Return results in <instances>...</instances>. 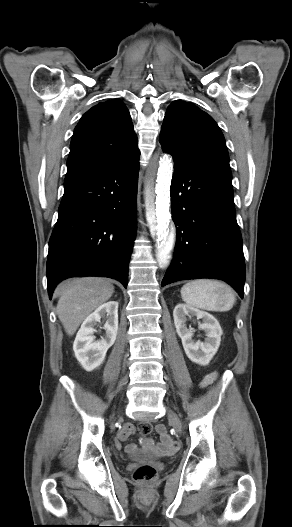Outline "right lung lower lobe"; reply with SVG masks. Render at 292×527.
Wrapping results in <instances>:
<instances>
[{"label":"right lung lower lobe","mask_w":292,"mask_h":527,"mask_svg":"<svg viewBox=\"0 0 292 527\" xmlns=\"http://www.w3.org/2000/svg\"><path fill=\"white\" fill-rule=\"evenodd\" d=\"M139 154L111 164L67 168L59 216L49 241L48 294L73 276L128 282L136 235Z\"/></svg>","instance_id":"obj_1"}]
</instances>
